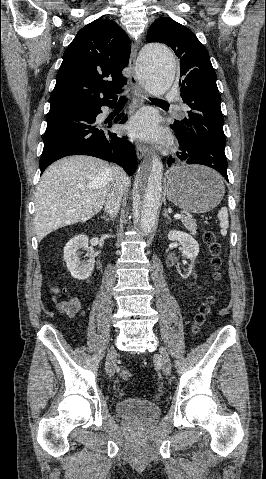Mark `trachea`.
Returning a JSON list of instances; mask_svg holds the SVG:
<instances>
[{
  "instance_id": "3493384b",
  "label": "trachea",
  "mask_w": 266,
  "mask_h": 479,
  "mask_svg": "<svg viewBox=\"0 0 266 479\" xmlns=\"http://www.w3.org/2000/svg\"><path fill=\"white\" fill-rule=\"evenodd\" d=\"M120 101H125L127 100V98L125 96H121ZM153 101H156V102H162V103H167L166 101H163V100H160V99H152Z\"/></svg>"
}]
</instances>
